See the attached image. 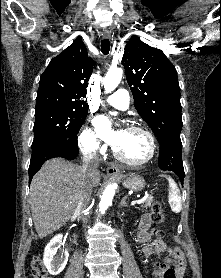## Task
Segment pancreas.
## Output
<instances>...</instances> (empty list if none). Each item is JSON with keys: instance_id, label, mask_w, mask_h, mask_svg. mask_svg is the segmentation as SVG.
I'll return each instance as SVG.
<instances>
[{"instance_id": "1", "label": "pancreas", "mask_w": 221, "mask_h": 278, "mask_svg": "<svg viewBox=\"0 0 221 278\" xmlns=\"http://www.w3.org/2000/svg\"><path fill=\"white\" fill-rule=\"evenodd\" d=\"M152 203H153V197H148L145 204L141 206V211L144 212L146 211L148 208L152 207Z\"/></svg>"}]
</instances>
